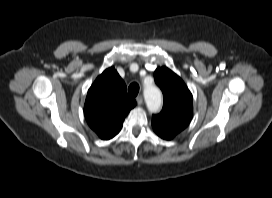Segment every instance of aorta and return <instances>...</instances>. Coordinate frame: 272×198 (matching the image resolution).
Listing matches in <instances>:
<instances>
[{"label": "aorta", "instance_id": "762f6f07", "mask_svg": "<svg viewBox=\"0 0 272 198\" xmlns=\"http://www.w3.org/2000/svg\"><path fill=\"white\" fill-rule=\"evenodd\" d=\"M144 98L147 108L151 113L157 112L160 109L162 104V94L156 86H146L144 88Z\"/></svg>", "mask_w": 272, "mask_h": 198}]
</instances>
